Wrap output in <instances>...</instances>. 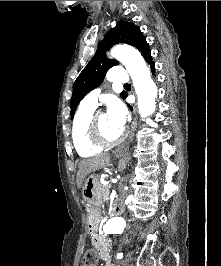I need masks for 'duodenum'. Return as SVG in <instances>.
Wrapping results in <instances>:
<instances>
[{"label":"duodenum","instance_id":"duodenum-1","mask_svg":"<svg viewBox=\"0 0 221 266\" xmlns=\"http://www.w3.org/2000/svg\"><path fill=\"white\" fill-rule=\"evenodd\" d=\"M110 211L113 216H118L122 213L123 207L119 202H115L112 204Z\"/></svg>","mask_w":221,"mask_h":266}]
</instances>
